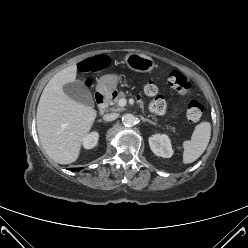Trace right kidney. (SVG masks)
Listing matches in <instances>:
<instances>
[{"label":"right kidney","instance_id":"ca27d5eb","mask_svg":"<svg viewBox=\"0 0 248 248\" xmlns=\"http://www.w3.org/2000/svg\"><path fill=\"white\" fill-rule=\"evenodd\" d=\"M98 137H99V135L97 132H92V133L88 134L83 140V146L86 149H91V148L95 147L97 142H98Z\"/></svg>","mask_w":248,"mask_h":248}]
</instances>
